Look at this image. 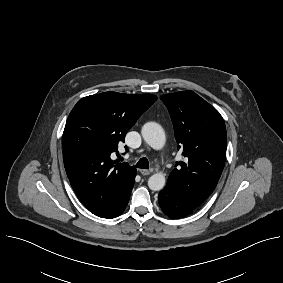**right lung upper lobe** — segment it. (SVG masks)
Listing matches in <instances>:
<instances>
[{"label":"right lung upper lobe","instance_id":"obj_1","mask_svg":"<svg viewBox=\"0 0 283 283\" xmlns=\"http://www.w3.org/2000/svg\"><path fill=\"white\" fill-rule=\"evenodd\" d=\"M156 100L151 94L104 92L80 99L70 112L64 166L77 197L96 216L112 212L132 190L136 169L110 155Z\"/></svg>","mask_w":283,"mask_h":283}]
</instances>
